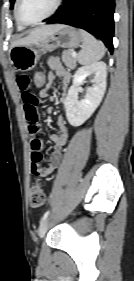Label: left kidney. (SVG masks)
I'll use <instances>...</instances> for the list:
<instances>
[{"label":"left kidney","mask_w":134,"mask_h":281,"mask_svg":"<svg viewBox=\"0 0 134 281\" xmlns=\"http://www.w3.org/2000/svg\"><path fill=\"white\" fill-rule=\"evenodd\" d=\"M93 75V85L86 90L85 98L78 100V90ZM106 64L102 61L80 67L73 76V84L64 101L66 117L70 125H82L100 105L106 91Z\"/></svg>","instance_id":"5707ae66"}]
</instances>
